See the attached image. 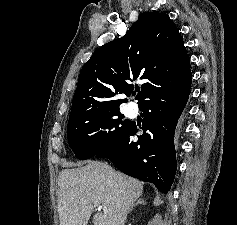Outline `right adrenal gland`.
I'll use <instances>...</instances> for the list:
<instances>
[{
	"instance_id": "right-adrenal-gland-1",
	"label": "right adrenal gland",
	"mask_w": 237,
	"mask_h": 225,
	"mask_svg": "<svg viewBox=\"0 0 237 225\" xmlns=\"http://www.w3.org/2000/svg\"><path fill=\"white\" fill-rule=\"evenodd\" d=\"M139 204H143V205L145 204V202H144V200H143L142 198H139V199L137 200V202H135L134 204L131 205V207H130L129 210H128V213L131 212V211L133 210V208H134L135 206L139 205Z\"/></svg>"
}]
</instances>
